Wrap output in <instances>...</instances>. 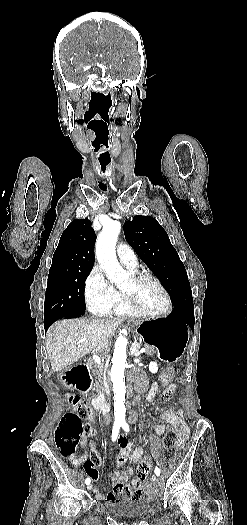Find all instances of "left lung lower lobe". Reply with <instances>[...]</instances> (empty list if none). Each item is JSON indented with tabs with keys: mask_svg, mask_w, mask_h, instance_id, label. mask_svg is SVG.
Returning a JSON list of instances; mask_svg holds the SVG:
<instances>
[{
	"mask_svg": "<svg viewBox=\"0 0 247 525\" xmlns=\"http://www.w3.org/2000/svg\"><path fill=\"white\" fill-rule=\"evenodd\" d=\"M170 318L167 320L175 321L179 323H187L192 329H194V306L187 305L175 308L174 311L169 315Z\"/></svg>",
	"mask_w": 247,
	"mask_h": 525,
	"instance_id": "1",
	"label": "left lung lower lobe"
}]
</instances>
